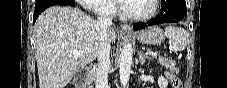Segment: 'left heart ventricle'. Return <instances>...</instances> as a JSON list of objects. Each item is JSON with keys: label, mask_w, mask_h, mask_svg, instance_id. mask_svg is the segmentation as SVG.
<instances>
[{"label": "left heart ventricle", "mask_w": 227, "mask_h": 88, "mask_svg": "<svg viewBox=\"0 0 227 88\" xmlns=\"http://www.w3.org/2000/svg\"><path fill=\"white\" fill-rule=\"evenodd\" d=\"M124 9L127 13L135 15H145L152 11V0H131L124 3Z\"/></svg>", "instance_id": "b2bd125f"}]
</instances>
